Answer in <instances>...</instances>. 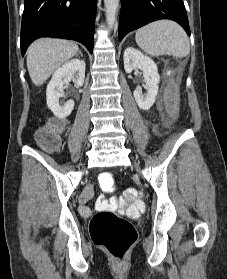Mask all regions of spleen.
Segmentation results:
<instances>
[{
    "mask_svg": "<svg viewBox=\"0 0 227 279\" xmlns=\"http://www.w3.org/2000/svg\"><path fill=\"white\" fill-rule=\"evenodd\" d=\"M138 46L151 56L173 55L178 58L190 53L189 39L180 25L161 20L136 31Z\"/></svg>",
    "mask_w": 227,
    "mask_h": 279,
    "instance_id": "1",
    "label": "spleen"
}]
</instances>
